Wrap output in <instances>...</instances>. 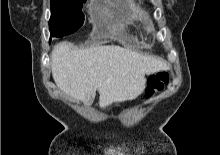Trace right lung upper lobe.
<instances>
[{
    "label": "right lung upper lobe",
    "instance_id": "cb5924a9",
    "mask_svg": "<svg viewBox=\"0 0 220 155\" xmlns=\"http://www.w3.org/2000/svg\"><path fill=\"white\" fill-rule=\"evenodd\" d=\"M74 1H85V0H74Z\"/></svg>",
    "mask_w": 220,
    "mask_h": 155
}]
</instances>
